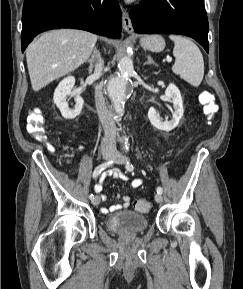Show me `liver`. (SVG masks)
<instances>
[{
    "instance_id": "liver-1",
    "label": "liver",
    "mask_w": 243,
    "mask_h": 289,
    "mask_svg": "<svg viewBox=\"0 0 243 289\" xmlns=\"http://www.w3.org/2000/svg\"><path fill=\"white\" fill-rule=\"evenodd\" d=\"M97 35L78 29H57L42 34L26 50L34 91L67 75L88 60Z\"/></svg>"
}]
</instances>
